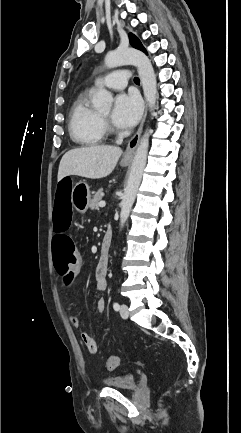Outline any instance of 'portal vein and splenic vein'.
<instances>
[{
    "label": "portal vein and splenic vein",
    "instance_id": "18ae733b",
    "mask_svg": "<svg viewBox=\"0 0 241 433\" xmlns=\"http://www.w3.org/2000/svg\"><path fill=\"white\" fill-rule=\"evenodd\" d=\"M105 205H106V203H105V201H101L100 203H99V207H105Z\"/></svg>",
    "mask_w": 241,
    "mask_h": 433
}]
</instances>
